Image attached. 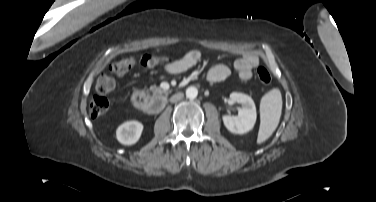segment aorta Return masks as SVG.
<instances>
[{"mask_svg":"<svg viewBox=\"0 0 376 202\" xmlns=\"http://www.w3.org/2000/svg\"><path fill=\"white\" fill-rule=\"evenodd\" d=\"M198 95V90L196 87L191 86L186 89V97L189 99H194Z\"/></svg>","mask_w":376,"mask_h":202,"instance_id":"obj_1","label":"aorta"}]
</instances>
